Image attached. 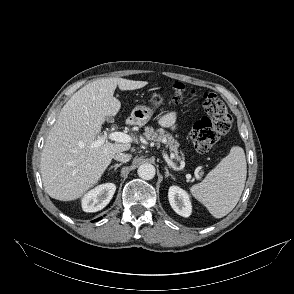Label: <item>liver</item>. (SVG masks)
<instances>
[{
  "mask_svg": "<svg viewBox=\"0 0 294 294\" xmlns=\"http://www.w3.org/2000/svg\"><path fill=\"white\" fill-rule=\"evenodd\" d=\"M147 81L103 78L78 90L63 106L44 144L40 171L47 194L61 201L76 200L98 183L116 153L130 143L105 142L93 147L107 116H115L121 103L113 94L136 90Z\"/></svg>",
  "mask_w": 294,
  "mask_h": 294,
  "instance_id": "obj_1",
  "label": "liver"
}]
</instances>
